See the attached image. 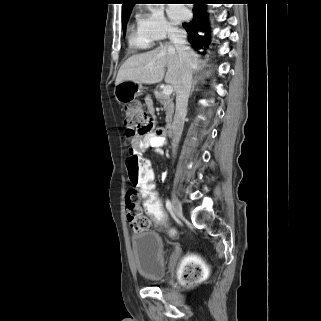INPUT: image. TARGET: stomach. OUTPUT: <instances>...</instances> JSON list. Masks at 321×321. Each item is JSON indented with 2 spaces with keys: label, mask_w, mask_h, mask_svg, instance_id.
<instances>
[{
  "label": "stomach",
  "mask_w": 321,
  "mask_h": 321,
  "mask_svg": "<svg viewBox=\"0 0 321 321\" xmlns=\"http://www.w3.org/2000/svg\"><path fill=\"white\" fill-rule=\"evenodd\" d=\"M144 88L141 83L122 81L116 85L114 95L119 103L126 104L137 96L142 95Z\"/></svg>",
  "instance_id": "1"
}]
</instances>
